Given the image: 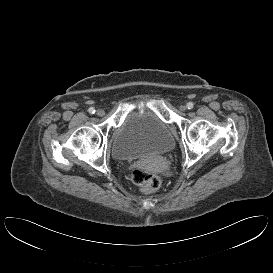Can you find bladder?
Returning a JSON list of instances; mask_svg holds the SVG:
<instances>
[{"label":"bladder","instance_id":"obj_1","mask_svg":"<svg viewBox=\"0 0 273 273\" xmlns=\"http://www.w3.org/2000/svg\"><path fill=\"white\" fill-rule=\"evenodd\" d=\"M175 140L170 128L154 113H128L111 139V153L117 161L146 160L173 150Z\"/></svg>","mask_w":273,"mask_h":273}]
</instances>
